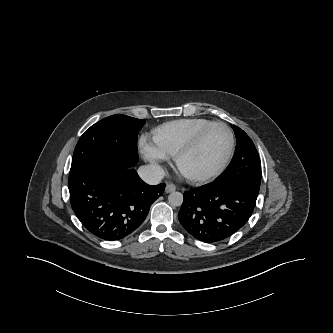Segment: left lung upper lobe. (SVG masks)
<instances>
[{
    "label": "left lung upper lobe",
    "mask_w": 333,
    "mask_h": 333,
    "mask_svg": "<svg viewBox=\"0 0 333 333\" xmlns=\"http://www.w3.org/2000/svg\"><path fill=\"white\" fill-rule=\"evenodd\" d=\"M237 146L227 169L214 182L236 184L258 194L261 182V162L254 143L239 127L233 125Z\"/></svg>",
    "instance_id": "1"
}]
</instances>
